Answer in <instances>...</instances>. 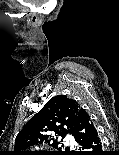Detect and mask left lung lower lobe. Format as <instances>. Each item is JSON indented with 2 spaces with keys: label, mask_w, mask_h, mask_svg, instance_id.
I'll use <instances>...</instances> for the list:
<instances>
[{
  "label": "left lung lower lobe",
  "mask_w": 119,
  "mask_h": 155,
  "mask_svg": "<svg viewBox=\"0 0 119 155\" xmlns=\"http://www.w3.org/2000/svg\"><path fill=\"white\" fill-rule=\"evenodd\" d=\"M73 136L80 148L86 151L74 155H104L96 127L84 109L79 108Z\"/></svg>",
  "instance_id": "1"
}]
</instances>
